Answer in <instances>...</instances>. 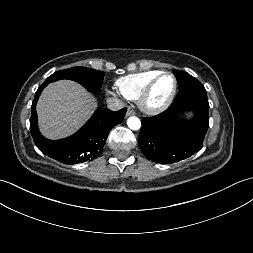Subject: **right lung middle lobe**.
<instances>
[{"label": "right lung middle lobe", "instance_id": "dd1d6c3e", "mask_svg": "<svg viewBox=\"0 0 253 253\" xmlns=\"http://www.w3.org/2000/svg\"><path fill=\"white\" fill-rule=\"evenodd\" d=\"M104 73L86 67H73L60 70L49 76L46 81L54 82L59 79H70L84 86L88 91L97 93L101 89Z\"/></svg>", "mask_w": 253, "mask_h": 253}]
</instances>
